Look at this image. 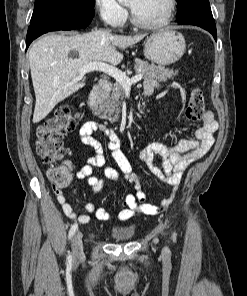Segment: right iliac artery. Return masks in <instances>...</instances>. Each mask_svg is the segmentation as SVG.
<instances>
[{
	"label": "right iliac artery",
	"instance_id": "1",
	"mask_svg": "<svg viewBox=\"0 0 247 296\" xmlns=\"http://www.w3.org/2000/svg\"><path fill=\"white\" fill-rule=\"evenodd\" d=\"M77 227H78L77 223H74V224L71 226L70 231H69V239L74 235V233H75ZM68 259H69V260H72V255H71V254H69Z\"/></svg>",
	"mask_w": 247,
	"mask_h": 296
}]
</instances>
